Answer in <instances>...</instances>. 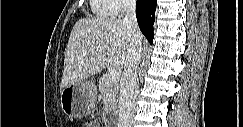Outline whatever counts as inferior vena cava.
Masks as SVG:
<instances>
[{
    "label": "inferior vena cava",
    "mask_w": 243,
    "mask_h": 127,
    "mask_svg": "<svg viewBox=\"0 0 243 127\" xmlns=\"http://www.w3.org/2000/svg\"><path fill=\"white\" fill-rule=\"evenodd\" d=\"M125 24L131 34L130 46L124 63V72L120 80L117 127H132L135 111V91L137 88V70L141 59L142 44L137 37L140 30L136 19V0H124Z\"/></svg>",
    "instance_id": "602c4592"
}]
</instances>
